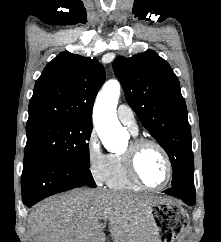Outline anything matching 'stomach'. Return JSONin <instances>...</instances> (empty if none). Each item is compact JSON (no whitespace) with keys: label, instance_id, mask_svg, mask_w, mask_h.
<instances>
[{"label":"stomach","instance_id":"stomach-1","mask_svg":"<svg viewBox=\"0 0 221 242\" xmlns=\"http://www.w3.org/2000/svg\"><path fill=\"white\" fill-rule=\"evenodd\" d=\"M148 216L154 226V242H174L176 234L187 228L185 210L171 200L163 199L149 206Z\"/></svg>","mask_w":221,"mask_h":242}]
</instances>
